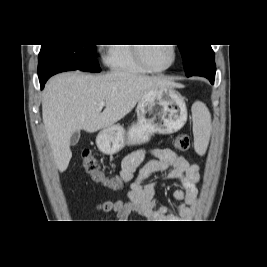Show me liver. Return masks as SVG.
<instances>
[{
    "label": "liver",
    "mask_w": 267,
    "mask_h": 267,
    "mask_svg": "<svg viewBox=\"0 0 267 267\" xmlns=\"http://www.w3.org/2000/svg\"><path fill=\"white\" fill-rule=\"evenodd\" d=\"M182 87L160 76L115 71L106 75L80 72L52 77L42 95V118L55 164L64 172L72 158L70 138L75 131L93 133L114 125L150 90ZM105 102L101 112L98 104Z\"/></svg>",
    "instance_id": "1"
}]
</instances>
